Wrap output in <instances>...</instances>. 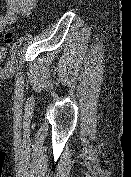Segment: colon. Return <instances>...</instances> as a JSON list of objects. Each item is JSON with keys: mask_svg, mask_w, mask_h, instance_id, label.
Segmentation results:
<instances>
[{"mask_svg": "<svg viewBox=\"0 0 131 177\" xmlns=\"http://www.w3.org/2000/svg\"><path fill=\"white\" fill-rule=\"evenodd\" d=\"M13 40L12 34H7L4 38V42L0 45V64L4 61L8 46L11 44Z\"/></svg>", "mask_w": 131, "mask_h": 177, "instance_id": "5ec220e1", "label": "colon"}]
</instances>
